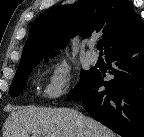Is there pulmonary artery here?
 Returning <instances> with one entry per match:
<instances>
[{"label":"pulmonary artery","instance_id":"1","mask_svg":"<svg viewBox=\"0 0 144 137\" xmlns=\"http://www.w3.org/2000/svg\"><path fill=\"white\" fill-rule=\"evenodd\" d=\"M88 46L89 50L86 53V58L90 63H96L98 60V54L95 51H93L95 43L91 41L88 43Z\"/></svg>","mask_w":144,"mask_h":137}]
</instances>
